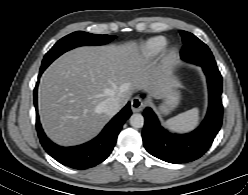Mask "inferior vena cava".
Instances as JSON below:
<instances>
[{"mask_svg": "<svg viewBox=\"0 0 248 195\" xmlns=\"http://www.w3.org/2000/svg\"><path fill=\"white\" fill-rule=\"evenodd\" d=\"M119 108V101L114 97H109L99 104V109L109 116L115 115Z\"/></svg>", "mask_w": 248, "mask_h": 195, "instance_id": "inferior-vena-cava-1", "label": "inferior vena cava"}]
</instances>
